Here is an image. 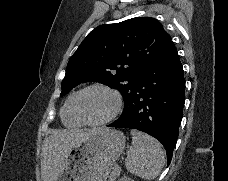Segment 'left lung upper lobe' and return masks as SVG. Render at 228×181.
<instances>
[{
  "mask_svg": "<svg viewBox=\"0 0 228 181\" xmlns=\"http://www.w3.org/2000/svg\"><path fill=\"white\" fill-rule=\"evenodd\" d=\"M170 40L162 24L151 17L98 26L71 56L61 95L80 83L99 82L122 94L125 109L138 74Z\"/></svg>",
  "mask_w": 228,
  "mask_h": 181,
  "instance_id": "1",
  "label": "left lung upper lobe"
}]
</instances>
